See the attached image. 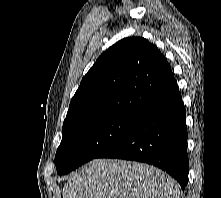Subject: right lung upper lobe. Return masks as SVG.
<instances>
[{"mask_svg":"<svg viewBox=\"0 0 221 198\" xmlns=\"http://www.w3.org/2000/svg\"><path fill=\"white\" fill-rule=\"evenodd\" d=\"M178 90L160 50L141 37L108 48L83 77L63 123V134L118 114L142 117Z\"/></svg>","mask_w":221,"mask_h":198,"instance_id":"obj_1","label":"right lung upper lobe"}]
</instances>
